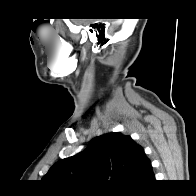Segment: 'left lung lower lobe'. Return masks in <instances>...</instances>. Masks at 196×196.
Instances as JSON below:
<instances>
[{
    "label": "left lung lower lobe",
    "instance_id": "left-lung-lower-lobe-1",
    "mask_svg": "<svg viewBox=\"0 0 196 196\" xmlns=\"http://www.w3.org/2000/svg\"><path fill=\"white\" fill-rule=\"evenodd\" d=\"M154 180H155V177H154V173L151 167V162H149L144 172L142 173L137 185L151 183V182H154Z\"/></svg>",
    "mask_w": 196,
    "mask_h": 196
}]
</instances>
